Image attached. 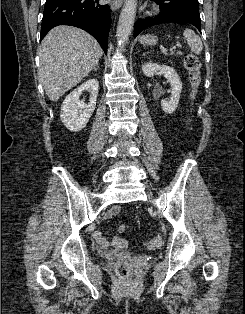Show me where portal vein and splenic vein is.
Masks as SVG:
<instances>
[{"mask_svg":"<svg viewBox=\"0 0 245 314\" xmlns=\"http://www.w3.org/2000/svg\"><path fill=\"white\" fill-rule=\"evenodd\" d=\"M176 48H181V44L180 43H176V45L172 47V50H175Z\"/></svg>","mask_w":245,"mask_h":314,"instance_id":"portal-vein-and-splenic-vein-1","label":"portal vein and splenic vein"}]
</instances>
